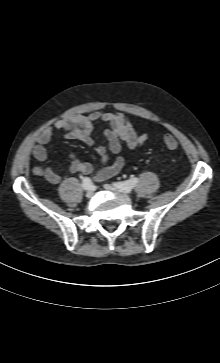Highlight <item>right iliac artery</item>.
<instances>
[{
    "instance_id": "1",
    "label": "right iliac artery",
    "mask_w": 220,
    "mask_h": 363,
    "mask_svg": "<svg viewBox=\"0 0 220 363\" xmlns=\"http://www.w3.org/2000/svg\"><path fill=\"white\" fill-rule=\"evenodd\" d=\"M82 187L85 190L91 189V187H92V181H91V179L88 178V177L83 178Z\"/></svg>"
}]
</instances>
